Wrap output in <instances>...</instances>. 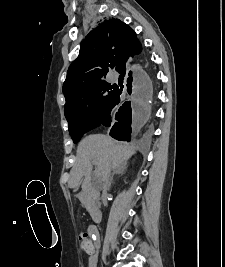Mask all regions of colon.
Masks as SVG:
<instances>
[{"label": "colon", "mask_w": 225, "mask_h": 267, "mask_svg": "<svg viewBox=\"0 0 225 267\" xmlns=\"http://www.w3.org/2000/svg\"><path fill=\"white\" fill-rule=\"evenodd\" d=\"M81 247L85 252H90L92 249V244L85 234L80 235Z\"/></svg>", "instance_id": "5ec220e1"}]
</instances>
